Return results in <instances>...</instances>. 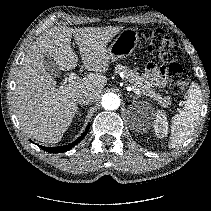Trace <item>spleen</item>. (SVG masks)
I'll list each match as a JSON object with an SVG mask.
<instances>
[{"label":"spleen","instance_id":"1","mask_svg":"<svg viewBox=\"0 0 211 211\" xmlns=\"http://www.w3.org/2000/svg\"><path fill=\"white\" fill-rule=\"evenodd\" d=\"M203 96L197 83L192 82L186 94L183 110L172 117L169 148L180 146L195 130Z\"/></svg>","mask_w":211,"mask_h":211}]
</instances>
